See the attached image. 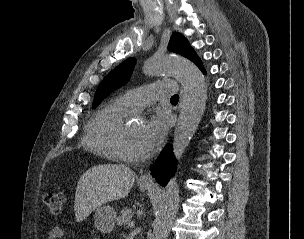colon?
Segmentation results:
<instances>
[{
    "mask_svg": "<svg viewBox=\"0 0 304 239\" xmlns=\"http://www.w3.org/2000/svg\"><path fill=\"white\" fill-rule=\"evenodd\" d=\"M43 201L53 214H59L64 207L66 195L62 191L48 192L44 194Z\"/></svg>",
    "mask_w": 304,
    "mask_h": 239,
    "instance_id": "obj_1",
    "label": "colon"
}]
</instances>
